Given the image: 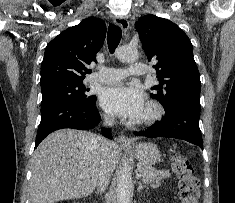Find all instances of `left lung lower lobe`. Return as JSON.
I'll list each match as a JSON object with an SVG mask.
<instances>
[{
  "instance_id": "0a47b994",
  "label": "left lung lower lobe",
  "mask_w": 235,
  "mask_h": 203,
  "mask_svg": "<svg viewBox=\"0 0 235 203\" xmlns=\"http://www.w3.org/2000/svg\"><path fill=\"white\" fill-rule=\"evenodd\" d=\"M200 105L184 102L166 111V116L148 128L145 132H135L137 136L148 138L167 137L186 140L203 149L199 128Z\"/></svg>"
}]
</instances>
